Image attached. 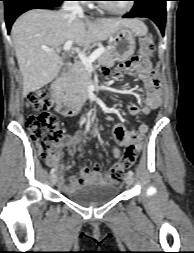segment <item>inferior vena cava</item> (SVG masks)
Returning <instances> with one entry per match:
<instances>
[{
	"label": "inferior vena cava",
	"mask_w": 194,
	"mask_h": 253,
	"mask_svg": "<svg viewBox=\"0 0 194 253\" xmlns=\"http://www.w3.org/2000/svg\"><path fill=\"white\" fill-rule=\"evenodd\" d=\"M63 10L74 14H83L82 7L79 5L78 1H65L63 4Z\"/></svg>",
	"instance_id": "obj_1"
}]
</instances>
